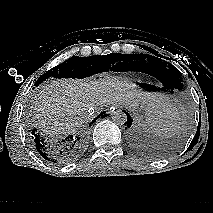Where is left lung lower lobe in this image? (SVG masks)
<instances>
[{
    "label": "left lung lower lobe",
    "mask_w": 213,
    "mask_h": 213,
    "mask_svg": "<svg viewBox=\"0 0 213 213\" xmlns=\"http://www.w3.org/2000/svg\"><path fill=\"white\" fill-rule=\"evenodd\" d=\"M159 80L163 84V88L161 89L162 91L170 90V92L173 93V86L171 85V83L169 81H167L165 79H159ZM143 86L148 91L160 90V88H157L154 85L143 84ZM126 115H127V123H125V124L127 125V128H129L132 125L133 119L128 114V112L126 113ZM131 136H132L131 143L141 153H143L147 156H150V157L158 156L157 150L152 146V144H150V142L147 139H145V137H143L139 134H133Z\"/></svg>",
    "instance_id": "1"
}]
</instances>
